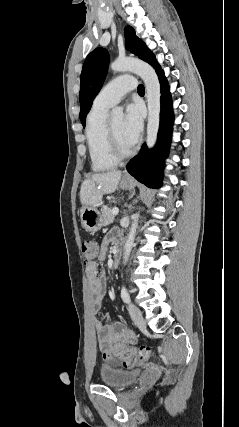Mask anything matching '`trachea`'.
I'll list each match as a JSON object with an SVG mask.
<instances>
[{
  "mask_svg": "<svg viewBox=\"0 0 239 427\" xmlns=\"http://www.w3.org/2000/svg\"><path fill=\"white\" fill-rule=\"evenodd\" d=\"M138 93H144L145 92V88L142 84H140L137 88Z\"/></svg>",
  "mask_w": 239,
  "mask_h": 427,
  "instance_id": "obj_1",
  "label": "trachea"
}]
</instances>
